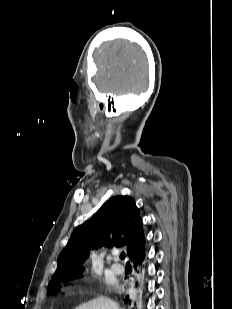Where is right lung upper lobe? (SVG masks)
Here are the masks:
<instances>
[{
	"label": "right lung upper lobe",
	"instance_id": "cb5924a9",
	"mask_svg": "<svg viewBox=\"0 0 232 309\" xmlns=\"http://www.w3.org/2000/svg\"><path fill=\"white\" fill-rule=\"evenodd\" d=\"M128 246L133 263L145 254V237L140 211L128 196H115L106 201L91 217L77 227L60 253L51 284L70 280L84 271L82 264L89 251L97 247ZM53 294V293H49Z\"/></svg>",
	"mask_w": 232,
	"mask_h": 309
}]
</instances>
